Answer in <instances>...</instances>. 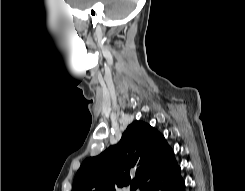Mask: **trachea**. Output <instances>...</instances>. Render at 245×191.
<instances>
[{"label": "trachea", "mask_w": 245, "mask_h": 191, "mask_svg": "<svg viewBox=\"0 0 245 191\" xmlns=\"http://www.w3.org/2000/svg\"><path fill=\"white\" fill-rule=\"evenodd\" d=\"M138 188L137 184L132 185V190H136Z\"/></svg>", "instance_id": "1"}]
</instances>
